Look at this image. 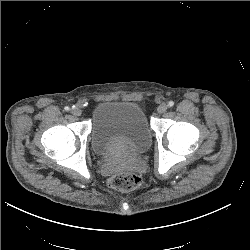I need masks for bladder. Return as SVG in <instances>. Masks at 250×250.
<instances>
[{"mask_svg": "<svg viewBox=\"0 0 250 250\" xmlns=\"http://www.w3.org/2000/svg\"><path fill=\"white\" fill-rule=\"evenodd\" d=\"M90 143L101 156L139 154L151 146L152 131L138 104L103 101L91 115Z\"/></svg>", "mask_w": 250, "mask_h": 250, "instance_id": "1", "label": "bladder"}]
</instances>
